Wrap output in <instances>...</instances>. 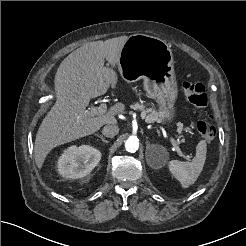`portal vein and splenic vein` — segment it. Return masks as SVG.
Returning a JSON list of instances; mask_svg holds the SVG:
<instances>
[{
	"instance_id": "obj_1",
	"label": "portal vein and splenic vein",
	"mask_w": 246,
	"mask_h": 246,
	"mask_svg": "<svg viewBox=\"0 0 246 246\" xmlns=\"http://www.w3.org/2000/svg\"><path fill=\"white\" fill-rule=\"evenodd\" d=\"M89 109H90V113L93 115H104L107 113L106 103H101L98 107H91ZM171 143H172L174 149L177 151V153L180 156H184L183 152L181 151L180 147L178 146V142H176L174 139H171ZM186 157L188 158V156H186Z\"/></svg>"
}]
</instances>
